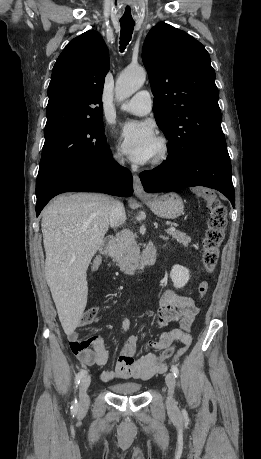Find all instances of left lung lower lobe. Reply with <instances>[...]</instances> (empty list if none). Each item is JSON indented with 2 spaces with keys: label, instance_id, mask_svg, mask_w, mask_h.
Wrapping results in <instances>:
<instances>
[{
  "label": "left lung lower lobe",
  "instance_id": "0a47b994",
  "mask_svg": "<svg viewBox=\"0 0 261 459\" xmlns=\"http://www.w3.org/2000/svg\"><path fill=\"white\" fill-rule=\"evenodd\" d=\"M146 192H166L205 186L223 193L235 207L231 163L226 145L199 150L183 162L167 158L159 167L140 174Z\"/></svg>",
  "mask_w": 261,
  "mask_h": 459
}]
</instances>
